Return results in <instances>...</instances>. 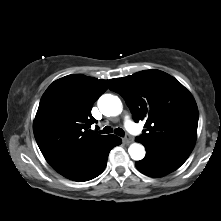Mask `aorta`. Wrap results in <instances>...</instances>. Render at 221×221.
<instances>
[{
    "label": "aorta",
    "mask_w": 221,
    "mask_h": 221,
    "mask_svg": "<svg viewBox=\"0 0 221 221\" xmlns=\"http://www.w3.org/2000/svg\"><path fill=\"white\" fill-rule=\"evenodd\" d=\"M98 108L105 116H117L122 112V102L117 96L104 94L98 100ZM128 152L133 160H141L145 156V149L139 143L131 144Z\"/></svg>",
    "instance_id": "762f6f07"
}]
</instances>
